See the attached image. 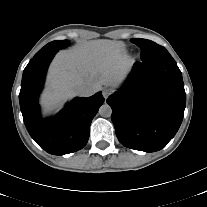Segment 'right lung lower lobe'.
Wrapping results in <instances>:
<instances>
[{
    "instance_id": "obj_1",
    "label": "right lung lower lobe",
    "mask_w": 207,
    "mask_h": 207,
    "mask_svg": "<svg viewBox=\"0 0 207 207\" xmlns=\"http://www.w3.org/2000/svg\"><path fill=\"white\" fill-rule=\"evenodd\" d=\"M56 52L33 57L23 71L19 94L25 126L46 152L64 155L82 149L89 138L90 124L104 98L101 92L91 97H76L57 115L43 119L38 103L47 68Z\"/></svg>"
}]
</instances>
